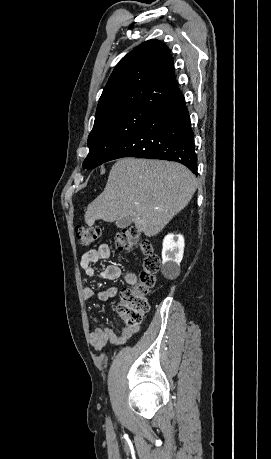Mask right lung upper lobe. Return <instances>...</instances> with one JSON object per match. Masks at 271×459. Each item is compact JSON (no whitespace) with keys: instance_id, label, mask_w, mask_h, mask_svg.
<instances>
[{"instance_id":"cb5924a9","label":"right lung upper lobe","mask_w":271,"mask_h":459,"mask_svg":"<svg viewBox=\"0 0 271 459\" xmlns=\"http://www.w3.org/2000/svg\"><path fill=\"white\" fill-rule=\"evenodd\" d=\"M180 94L170 50L158 40H149L117 64L100 97L96 118L132 108L157 112Z\"/></svg>"}]
</instances>
